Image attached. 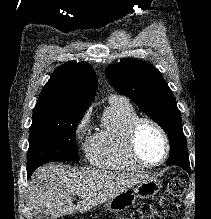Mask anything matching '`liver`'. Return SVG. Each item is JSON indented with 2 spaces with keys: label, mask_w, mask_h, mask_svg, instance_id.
Returning <instances> with one entry per match:
<instances>
[{
  "label": "liver",
  "mask_w": 211,
  "mask_h": 219,
  "mask_svg": "<svg viewBox=\"0 0 211 219\" xmlns=\"http://www.w3.org/2000/svg\"><path fill=\"white\" fill-rule=\"evenodd\" d=\"M149 177L146 173L68 170L61 164H46L31 177L30 209L36 217L40 209L46 208L53 219L76 212L85 213ZM74 195L81 198L77 206L72 203Z\"/></svg>",
  "instance_id": "obj_1"
}]
</instances>
